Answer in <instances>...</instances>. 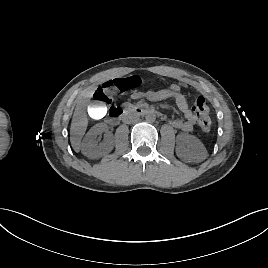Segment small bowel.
Wrapping results in <instances>:
<instances>
[{"instance_id": "c3829d8e", "label": "small bowel", "mask_w": 268, "mask_h": 268, "mask_svg": "<svg viewBox=\"0 0 268 268\" xmlns=\"http://www.w3.org/2000/svg\"><path fill=\"white\" fill-rule=\"evenodd\" d=\"M133 99L146 98L150 101H161L173 98L178 109L182 112L183 119H172L170 124L181 131L189 132L193 130L197 123V114L191 109L187 95L182 91L181 87L177 84L164 86L158 90H146L135 92L131 95Z\"/></svg>"}]
</instances>
